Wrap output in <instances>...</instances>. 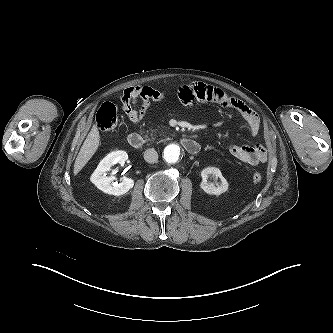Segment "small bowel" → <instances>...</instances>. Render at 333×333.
Listing matches in <instances>:
<instances>
[{"instance_id":"c3829d8e","label":"small bowel","mask_w":333,"mask_h":333,"mask_svg":"<svg viewBox=\"0 0 333 333\" xmlns=\"http://www.w3.org/2000/svg\"><path fill=\"white\" fill-rule=\"evenodd\" d=\"M178 97L184 104L193 102H213L223 107L234 109L247 123L251 135L259 132L258 114L240 99L225 93L222 89L204 83L190 82L179 87ZM166 93L146 85H137L125 89L120 95L124 114L132 124L140 123L149 108L150 102H162ZM229 152L238 160L256 166L267 161V150L260 144L231 145Z\"/></svg>"}]
</instances>
